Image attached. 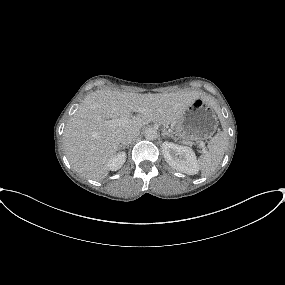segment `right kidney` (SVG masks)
<instances>
[{"mask_svg":"<svg viewBox=\"0 0 285 285\" xmlns=\"http://www.w3.org/2000/svg\"><path fill=\"white\" fill-rule=\"evenodd\" d=\"M126 161V153L120 152L115 155L108 163V169L111 171H116L120 169Z\"/></svg>","mask_w":285,"mask_h":285,"instance_id":"ca27d5eb","label":"right kidney"}]
</instances>
